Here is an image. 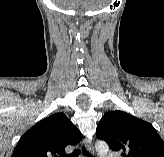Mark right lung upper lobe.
Wrapping results in <instances>:
<instances>
[{"label":"right lung upper lobe","mask_w":164,"mask_h":157,"mask_svg":"<svg viewBox=\"0 0 164 157\" xmlns=\"http://www.w3.org/2000/svg\"><path fill=\"white\" fill-rule=\"evenodd\" d=\"M83 135L64 113L53 114L30 128L11 157H67L65 147L76 145Z\"/></svg>","instance_id":"right-lung-upper-lobe-1"}]
</instances>
